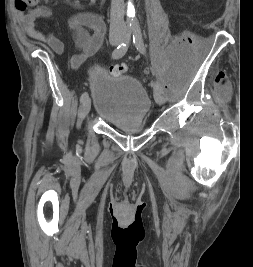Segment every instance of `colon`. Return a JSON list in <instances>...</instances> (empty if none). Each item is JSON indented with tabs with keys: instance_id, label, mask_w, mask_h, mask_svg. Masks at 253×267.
Here are the masks:
<instances>
[{
	"instance_id": "5ec220e1",
	"label": "colon",
	"mask_w": 253,
	"mask_h": 267,
	"mask_svg": "<svg viewBox=\"0 0 253 267\" xmlns=\"http://www.w3.org/2000/svg\"><path fill=\"white\" fill-rule=\"evenodd\" d=\"M39 0H16L15 5L19 10L32 9L37 6ZM127 71L124 63H118L111 67V73L114 75H123Z\"/></svg>"
}]
</instances>
